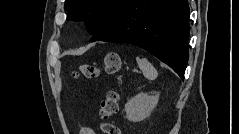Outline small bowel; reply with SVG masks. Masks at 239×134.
Segmentation results:
<instances>
[{
  "label": "small bowel",
  "mask_w": 239,
  "mask_h": 134,
  "mask_svg": "<svg viewBox=\"0 0 239 134\" xmlns=\"http://www.w3.org/2000/svg\"><path fill=\"white\" fill-rule=\"evenodd\" d=\"M81 134H94V131L87 126H82Z\"/></svg>",
  "instance_id": "c3829d8e"
}]
</instances>
